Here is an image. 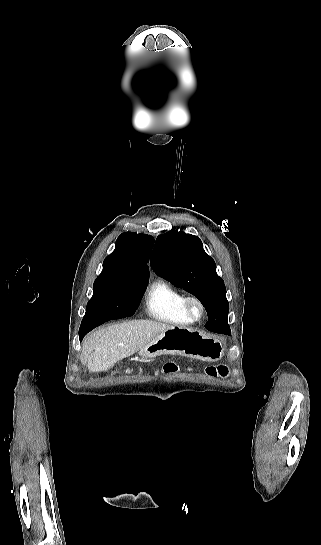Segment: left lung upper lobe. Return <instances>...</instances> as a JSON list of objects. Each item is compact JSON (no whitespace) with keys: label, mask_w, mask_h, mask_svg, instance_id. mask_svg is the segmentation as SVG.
Returning <instances> with one entry per match:
<instances>
[{"label":"left lung upper lobe","mask_w":321,"mask_h":545,"mask_svg":"<svg viewBox=\"0 0 321 545\" xmlns=\"http://www.w3.org/2000/svg\"><path fill=\"white\" fill-rule=\"evenodd\" d=\"M150 264L157 275L197 297L206 311L228 316L226 287L199 237L175 230L159 235Z\"/></svg>","instance_id":"1"}]
</instances>
